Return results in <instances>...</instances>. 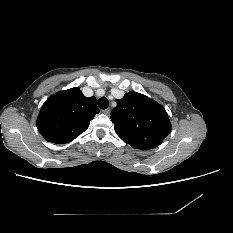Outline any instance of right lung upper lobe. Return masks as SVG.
Masks as SVG:
<instances>
[{"instance_id": "right-lung-upper-lobe-1", "label": "right lung upper lobe", "mask_w": 233, "mask_h": 233, "mask_svg": "<svg viewBox=\"0 0 233 233\" xmlns=\"http://www.w3.org/2000/svg\"><path fill=\"white\" fill-rule=\"evenodd\" d=\"M96 113V98L85 97L78 87L71 88L46 100L37 118V128L48 142L68 143L87 130Z\"/></svg>"}]
</instances>
